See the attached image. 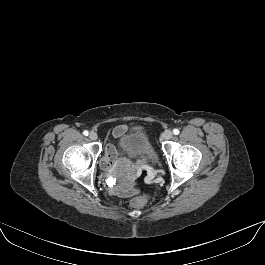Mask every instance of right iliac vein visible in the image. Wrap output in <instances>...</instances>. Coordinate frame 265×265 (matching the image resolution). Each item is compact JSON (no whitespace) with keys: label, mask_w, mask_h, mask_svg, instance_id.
Segmentation results:
<instances>
[{"label":"right iliac vein","mask_w":265,"mask_h":265,"mask_svg":"<svg viewBox=\"0 0 265 265\" xmlns=\"http://www.w3.org/2000/svg\"><path fill=\"white\" fill-rule=\"evenodd\" d=\"M89 138H90L91 140H97L98 135H97L95 132H91V133L89 134Z\"/></svg>","instance_id":"63e3f726"}]
</instances>
